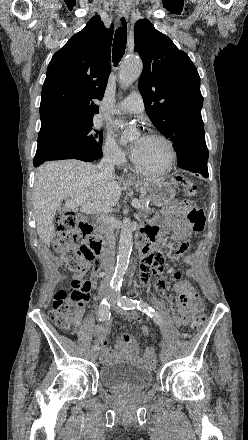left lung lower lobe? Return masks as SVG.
I'll list each match as a JSON object with an SVG mask.
<instances>
[{
    "label": "left lung lower lobe",
    "instance_id": "1",
    "mask_svg": "<svg viewBox=\"0 0 248 440\" xmlns=\"http://www.w3.org/2000/svg\"><path fill=\"white\" fill-rule=\"evenodd\" d=\"M178 167L194 173H199L205 178L209 176L208 168H207V160H200L194 163L178 164Z\"/></svg>",
    "mask_w": 248,
    "mask_h": 440
}]
</instances>
